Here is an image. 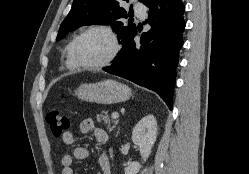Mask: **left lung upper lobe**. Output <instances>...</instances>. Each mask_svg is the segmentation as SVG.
Instances as JSON below:
<instances>
[{
    "label": "left lung upper lobe",
    "instance_id": "5c2ea615",
    "mask_svg": "<svg viewBox=\"0 0 249 174\" xmlns=\"http://www.w3.org/2000/svg\"><path fill=\"white\" fill-rule=\"evenodd\" d=\"M128 1V0H126ZM146 4L149 0H139ZM129 13L119 6V0H74L72 8L62 22L56 41L83 25H111L118 32V41L131 38L137 31L135 24L124 25L120 19Z\"/></svg>",
    "mask_w": 249,
    "mask_h": 174
}]
</instances>
